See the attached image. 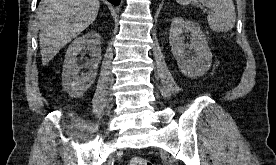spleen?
<instances>
[{"mask_svg": "<svg viewBox=\"0 0 276 165\" xmlns=\"http://www.w3.org/2000/svg\"><path fill=\"white\" fill-rule=\"evenodd\" d=\"M180 5H188L192 0H176ZM210 8L212 13L207 16L209 27L215 32H227L231 30L236 21L235 6L233 0H200Z\"/></svg>", "mask_w": 276, "mask_h": 165, "instance_id": "spleen-1", "label": "spleen"}]
</instances>
